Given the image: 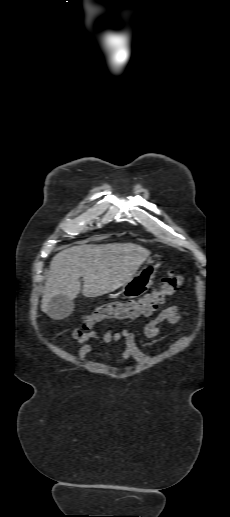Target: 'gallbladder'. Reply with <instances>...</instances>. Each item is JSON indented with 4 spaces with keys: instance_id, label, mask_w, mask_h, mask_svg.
I'll use <instances>...</instances> for the list:
<instances>
[{
    "instance_id": "gallbladder-1",
    "label": "gallbladder",
    "mask_w": 230,
    "mask_h": 517,
    "mask_svg": "<svg viewBox=\"0 0 230 517\" xmlns=\"http://www.w3.org/2000/svg\"><path fill=\"white\" fill-rule=\"evenodd\" d=\"M74 309V304L65 296H55L48 303V315L54 319L68 317Z\"/></svg>"
}]
</instances>
